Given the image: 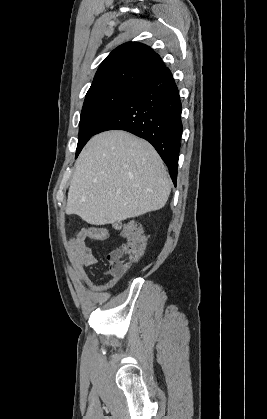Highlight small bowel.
Masks as SVG:
<instances>
[{"label":"small bowel","mask_w":267,"mask_h":419,"mask_svg":"<svg viewBox=\"0 0 267 419\" xmlns=\"http://www.w3.org/2000/svg\"><path fill=\"white\" fill-rule=\"evenodd\" d=\"M108 232L102 226H90L77 231L68 241L71 264L76 277L84 283L88 290L95 294H103L112 289L118 282L119 276L107 275L110 279L105 284H96L88 274V268L97 263L92 248L87 244V239L103 241L107 239Z\"/></svg>","instance_id":"c3829d8e"}]
</instances>
